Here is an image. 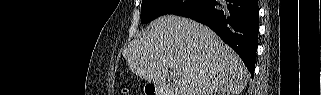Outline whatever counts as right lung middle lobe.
Returning <instances> with one entry per match:
<instances>
[{"label": "right lung middle lobe", "instance_id": "obj_1", "mask_svg": "<svg viewBox=\"0 0 321 95\" xmlns=\"http://www.w3.org/2000/svg\"><path fill=\"white\" fill-rule=\"evenodd\" d=\"M207 0H142L141 23H148L162 15L186 17L197 13Z\"/></svg>", "mask_w": 321, "mask_h": 95}]
</instances>
